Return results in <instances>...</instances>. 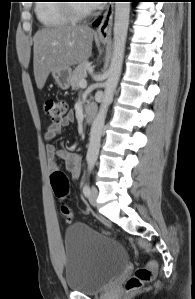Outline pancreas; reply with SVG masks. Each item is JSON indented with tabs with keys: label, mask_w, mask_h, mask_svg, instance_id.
Masks as SVG:
<instances>
[{
	"label": "pancreas",
	"mask_w": 195,
	"mask_h": 299,
	"mask_svg": "<svg viewBox=\"0 0 195 299\" xmlns=\"http://www.w3.org/2000/svg\"><path fill=\"white\" fill-rule=\"evenodd\" d=\"M89 66V62L84 61L74 69L71 79V86L73 89H78L80 87L79 83L87 76V69Z\"/></svg>",
	"instance_id": "cf45deb5"
}]
</instances>
